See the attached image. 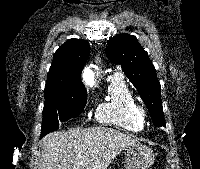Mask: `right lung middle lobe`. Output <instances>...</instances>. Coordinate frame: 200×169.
<instances>
[{"label":"right lung middle lobe","instance_id":"dd1d6c3e","mask_svg":"<svg viewBox=\"0 0 200 169\" xmlns=\"http://www.w3.org/2000/svg\"><path fill=\"white\" fill-rule=\"evenodd\" d=\"M87 92L46 99L43 109L41 137L59 128V122L78 116L86 104Z\"/></svg>","mask_w":200,"mask_h":169}]
</instances>
